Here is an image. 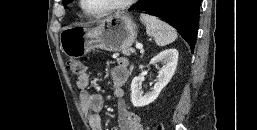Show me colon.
<instances>
[{
    "instance_id": "obj_1",
    "label": "colon",
    "mask_w": 257,
    "mask_h": 130,
    "mask_svg": "<svg viewBox=\"0 0 257 130\" xmlns=\"http://www.w3.org/2000/svg\"><path fill=\"white\" fill-rule=\"evenodd\" d=\"M67 67L68 69L75 75H82L86 72L85 65L77 59H69L67 61ZM153 130H161V127L159 125H155Z\"/></svg>"
}]
</instances>
